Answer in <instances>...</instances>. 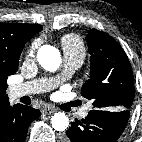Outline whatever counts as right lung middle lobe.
Returning a JSON list of instances; mask_svg holds the SVG:
<instances>
[{
    "label": "right lung middle lobe",
    "instance_id": "dd1d6c3e",
    "mask_svg": "<svg viewBox=\"0 0 142 142\" xmlns=\"http://www.w3.org/2000/svg\"><path fill=\"white\" fill-rule=\"evenodd\" d=\"M18 68V64H16L13 68H8L4 65H0V83L7 88V78L9 75L16 73Z\"/></svg>",
    "mask_w": 142,
    "mask_h": 142
}]
</instances>
